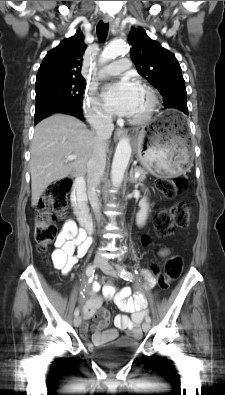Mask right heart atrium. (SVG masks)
<instances>
[{
    "instance_id": "d8ad5b80",
    "label": "right heart atrium",
    "mask_w": 225,
    "mask_h": 395,
    "mask_svg": "<svg viewBox=\"0 0 225 395\" xmlns=\"http://www.w3.org/2000/svg\"><path fill=\"white\" fill-rule=\"evenodd\" d=\"M84 112L87 119L92 123L101 124L110 120V115L95 97L93 91L90 90L86 93Z\"/></svg>"
}]
</instances>
